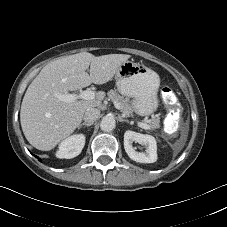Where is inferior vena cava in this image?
Segmentation results:
<instances>
[{
	"label": "inferior vena cava",
	"mask_w": 227,
	"mask_h": 227,
	"mask_svg": "<svg viewBox=\"0 0 227 227\" xmlns=\"http://www.w3.org/2000/svg\"><path fill=\"white\" fill-rule=\"evenodd\" d=\"M99 116L100 110H98L97 108H89L86 110L83 119L87 123H93L99 118Z\"/></svg>",
	"instance_id": "inferior-vena-cava-1"
}]
</instances>
